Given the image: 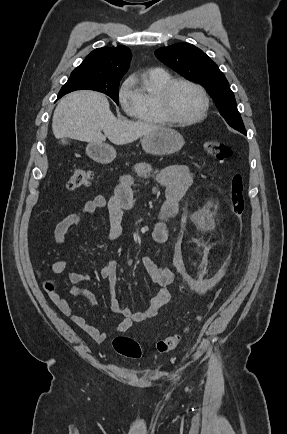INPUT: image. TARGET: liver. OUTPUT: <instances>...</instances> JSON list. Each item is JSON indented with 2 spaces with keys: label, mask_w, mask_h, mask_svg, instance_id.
<instances>
[{
  "label": "liver",
  "mask_w": 287,
  "mask_h": 434,
  "mask_svg": "<svg viewBox=\"0 0 287 434\" xmlns=\"http://www.w3.org/2000/svg\"><path fill=\"white\" fill-rule=\"evenodd\" d=\"M160 128L146 122L117 119L105 95L94 91H76L66 95L59 101L52 119L56 138L97 144H102L106 137L117 145L132 143Z\"/></svg>",
  "instance_id": "obj_1"
}]
</instances>
